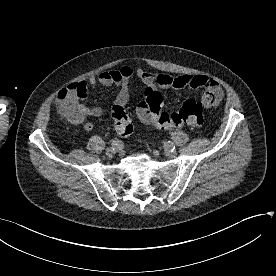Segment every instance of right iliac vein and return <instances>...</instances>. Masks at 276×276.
<instances>
[{
    "mask_svg": "<svg viewBox=\"0 0 276 276\" xmlns=\"http://www.w3.org/2000/svg\"><path fill=\"white\" fill-rule=\"evenodd\" d=\"M119 150H120V147L112 146V147L106 149V153L108 155H112V154L118 152Z\"/></svg>",
    "mask_w": 276,
    "mask_h": 276,
    "instance_id": "63e3f726",
    "label": "right iliac vein"
}]
</instances>
